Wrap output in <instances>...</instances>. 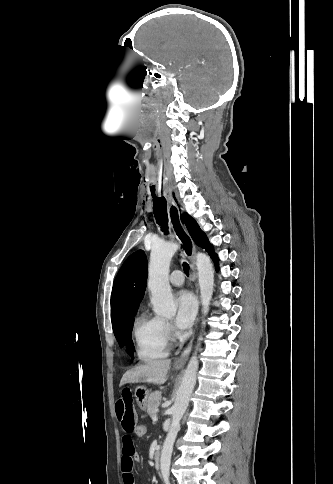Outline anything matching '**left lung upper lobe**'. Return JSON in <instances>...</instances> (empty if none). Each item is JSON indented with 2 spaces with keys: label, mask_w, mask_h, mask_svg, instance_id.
Instances as JSON below:
<instances>
[{
  "label": "left lung upper lobe",
  "mask_w": 333,
  "mask_h": 484,
  "mask_svg": "<svg viewBox=\"0 0 333 484\" xmlns=\"http://www.w3.org/2000/svg\"><path fill=\"white\" fill-rule=\"evenodd\" d=\"M182 218L194 242L198 246H202L205 233L199 228L196 221L189 214L184 213Z\"/></svg>",
  "instance_id": "left-lung-upper-lobe-1"
}]
</instances>
